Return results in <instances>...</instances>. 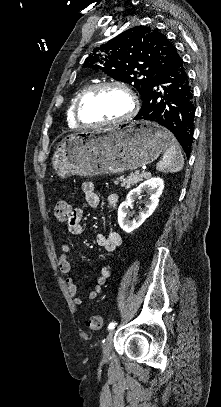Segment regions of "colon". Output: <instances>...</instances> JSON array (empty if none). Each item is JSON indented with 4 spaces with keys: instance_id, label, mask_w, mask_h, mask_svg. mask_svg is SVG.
Instances as JSON below:
<instances>
[{
    "instance_id": "colon-1",
    "label": "colon",
    "mask_w": 221,
    "mask_h": 407,
    "mask_svg": "<svg viewBox=\"0 0 221 407\" xmlns=\"http://www.w3.org/2000/svg\"><path fill=\"white\" fill-rule=\"evenodd\" d=\"M73 208L67 200L59 201L54 208V216L59 222H67L73 213ZM103 325V318L100 315H93L87 322V326L92 331H99Z\"/></svg>"
}]
</instances>
